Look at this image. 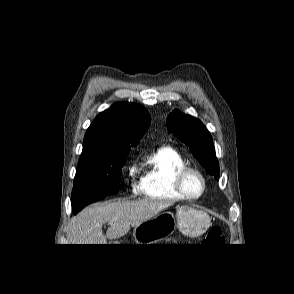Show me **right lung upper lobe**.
<instances>
[{
	"instance_id": "cb5924a9",
	"label": "right lung upper lobe",
	"mask_w": 294,
	"mask_h": 294,
	"mask_svg": "<svg viewBox=\"0 0 294 294\" xmlns=\"http://www.w3.org/2000/svg\"><path fill=\"white\" fill-rule=\"evenodd\" d=\"M151 118L139 104L115 103L101 112L89 126L83 151L131 150L149 127Z\"/></svg>"
}]
</instances>
